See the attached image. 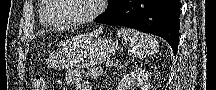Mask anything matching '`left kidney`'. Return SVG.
<instances>
[{"mask_svg":"<svg viewBox=\"0 0 216 90\" xmlns=\"http://www.w3.org/2000/svg\"><path fill=\"white\" fill-rule=\"evenodd\" d=\"M150 80L148 70H134L120 80L117 90H151Z\"/></svg>","mask_w":216,"mask_h":90,"instance_id":"1","label":"left kidney"}]
</instances>
